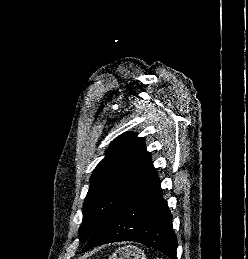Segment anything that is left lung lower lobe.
I'll list each match as a JSON object with an SVG mask.
<instances>
[{
  "mask_svg": "<svg viewBox=\"0 0 248 259\" xmlns=\"http://www.w3.org/2000/svg\"><path fill=\"white\" fill-rule=\"evenodd\" d=\"M134 241L153 247L176 259L177 239L172 228V215L162 198L160 184L135 200L99 229L83 252L98 245Z\"/></svg>",
  "mask_w": 248,
  "mask_h": 259,
  "instance_id": "0a47b994",
  "label": "left lung lower lobe"
}]
</instances>
